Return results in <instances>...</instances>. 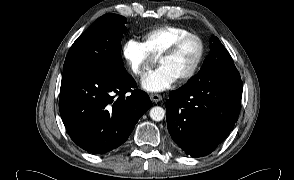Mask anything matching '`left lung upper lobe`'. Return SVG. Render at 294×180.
<instances>
[{
  "label": "left lung upper lobe",
  "mask_w": 294,
  "mask_h": 180,
  "mask_svg": "<svg viewBox=\"0 0 294 180\" xmlns=\"http://www.w3.org/2000/svg\"><path fill=\"white\" fill-rule=\"evenodd\" d=\"M219 80H240V74L220 40L213 37L211 54L207 56L197 75L193 76L184 86H200Z\"/></svg>",
  "instance_id": "left-lung-upper-lobe-1"
}]
</instances>
